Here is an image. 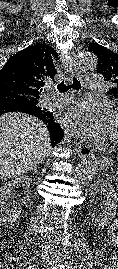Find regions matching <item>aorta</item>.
I'll return each mask as SVG.
<instances>
[{
	"label": "aorta",
	"mask_w": 118,
	"mask_h": 269,
	"mask_svg": "<svg viewBox=\"0 0 118 269\" xmlns=\"http://www.w3.org/2000/svg\"><path fill=\"white\" fill-rule=\"evenodd\" d=\"M97 58L91 52H83L78 55L77 65L81 71L93 70L96 67ZM98 170L97 160L89 157L80 162L75 169V177L78 179H87L96 174Z\"/></svg>",
	"instance_id": "obj_1"
}]
</instances>
